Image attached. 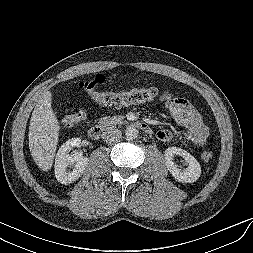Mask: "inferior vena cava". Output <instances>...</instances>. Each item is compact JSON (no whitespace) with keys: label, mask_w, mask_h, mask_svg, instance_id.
<instances>
[{"label":"inferior vena cava","mask_w":253,"mask_h":253,"mask_svg":"<svg viewBox=\"0 0 253 253\" xmlns=\"http://www.w3.org/2000/svg\"><path fill=\"white\" fill-rule=\"evenodd\" d=\"M122 136V133L118 129L110 128L106 132H104V139L108 143H112L118 141Z\"/></svg>","instance_id":"1"}]
</instances>
